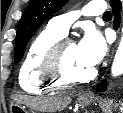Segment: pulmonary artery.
Returning <instances> with one entry per match:
<instances>
[{
  "instance_id": "1",
  "label": "pulmonary artery",
  "mask_w": 123,
  "mask_h": 113,
  "mask_svg": "<svg viewBox=\"0 0 123 113\" xmlns=\"http://www.w3.org/2000/svg\"><path fill=\"white\" fill-rule=\"evenodd\" d=\"M105 7V1H92L83 7L82 14L85 16L103 14ZM78 16L79 13L76 11L56 16L49 21V27L66 35L71 24L78 18Z\"/></svg>"
}]
</instances>
